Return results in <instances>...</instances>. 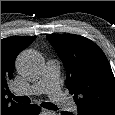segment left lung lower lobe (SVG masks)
<instances>
[{
    "instance_id": "left-lung-lower-lobe-1",
    "label": "left lung lower lobe",
    "mask_w": 115,
    "mask_h": 115,
    "mask_svg": "<svg viewBox=\"0 0 115 115\" xmlns=\"http://www.w3.org/2000/svg\"><path fill=\"white\" fill-rule=\"evenodd\" d=\"M61 114H62V115H73L72 113L66 112V111H63Z\"/></svg>"
}]
</instances>
